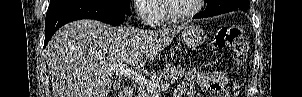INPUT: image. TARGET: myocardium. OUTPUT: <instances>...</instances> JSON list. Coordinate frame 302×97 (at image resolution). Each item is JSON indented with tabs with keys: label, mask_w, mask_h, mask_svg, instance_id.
<instances>
[{
	"label": "myocardium",
	"mask_w": 302,
	"mask_h": 97,
	"mask_svg": "<svg viewBox=\"0 0 302 97\" xmlns=\"http://www.w3.org/2000/svg\"><path fill=\"white\" fill-rule=\"evenodd\" d=\"M163 2H164L165 12L168 18L171 21L177 22V21L189 19L197 15L202 10L205 0H196L195 8H193L191 11L182 14H177L172 10L170 5V0H164Z\"/></svg>",
	"instance_id": "myocardium-1"
}]
</instances>
